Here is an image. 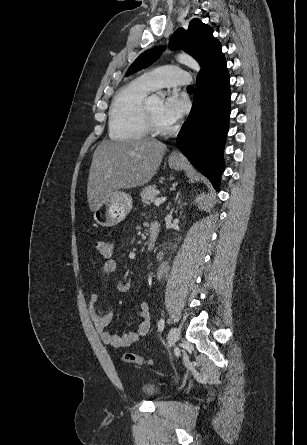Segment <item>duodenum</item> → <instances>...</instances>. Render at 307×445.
Segmentation results:
<instances>
[{"mask_svg":"<svg viewBox=\"0 0 307 445\" xmlns=\"http://www.w3.org/2000/svg\"><path fill=\"white\" fill-rule=\"evenodd\" d=\"M158 235H159V229L156 227H152L146 244L147 250L151 251L154 249Z\"/></svg>","mask_w":307,"mask_h":445,"instance_id":"obj_1","label":"duodenum"}]
</instances>
